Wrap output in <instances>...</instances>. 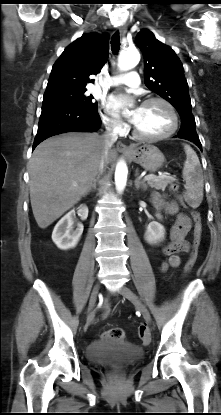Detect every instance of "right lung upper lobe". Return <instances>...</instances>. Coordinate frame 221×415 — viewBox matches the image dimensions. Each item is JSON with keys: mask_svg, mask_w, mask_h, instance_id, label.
Instances as JSON below:
<instances>
[{"mask_svg": "<svg viewBox=\"0 0 221 415\" xmlns=\"http://www.w3.org/2000/svg\"><path fill=\"white\" fill-rule=\"evenodd\" d=\"M109 55L108 35L84 34L68 47L52 67L45 94L71 89H86L89 78L100 72Z\"/></svg>", "mask_w": 221, "mask_h": 415, "instance_id": "obj_1", "label": "right lung upper lobe"}]
</instances>
